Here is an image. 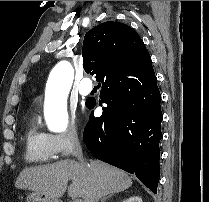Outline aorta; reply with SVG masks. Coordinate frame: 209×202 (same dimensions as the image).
I'll use <instances>...</instances> for the list:
<instances>
[{
  "instance_id": "obj_1",
  "label": "aorta",
  "mask_w": 209,
  "mask_h": 202,
  "mask_svg": "<svg viewBox=\"0 0 209 202\" xmlns=\"http://www.w3.org/2000/svg\"><path fill=\"white\" fill-rule=\"evenodd\" d=\"M74 71L67 61H60L51 71L45 89L44 116L48 129L64 132L68 127L67 96Z\"/></svg>"
}]
</instances>
